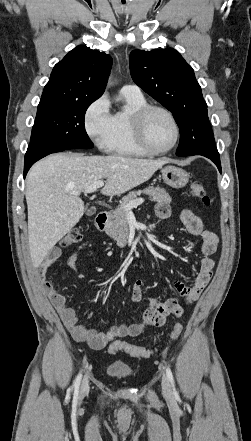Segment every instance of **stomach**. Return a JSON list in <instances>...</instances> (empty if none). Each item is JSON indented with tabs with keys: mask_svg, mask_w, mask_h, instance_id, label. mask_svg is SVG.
I'll list each match as a JSON object with an SVG mask.
<instances>
[{
	"mask_svg": "<svg viewBox=\"0 0 251 441\" xmlns=\"http://www.w3.org/2000/svg\"><path fill=\"white\" fill-rule=\"evenodd\" d=\"M163 181L172 188H183L189 181V174L182 168L173 165L161 170Z\"/></svg>",
	"mask_w": 251,
	"mask_h": 441,
	"instance_id": "1",
	"label": "stomach"
}]
</instances>
